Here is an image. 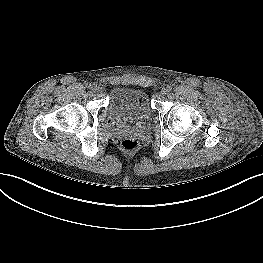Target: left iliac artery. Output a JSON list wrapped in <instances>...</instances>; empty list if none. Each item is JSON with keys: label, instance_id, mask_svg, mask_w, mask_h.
Here are the masks:
<instances>
[{"label": "left iliac artery", "instance_id": "44dca946", "mask_svg": "<svg viewBox=\"0 0 263 263\" xmlns=\"http://www.w3.org/2000/svg\"><path fill=\"white\" fill-rule=\"evenodd\" d=\"M166 88H167L168 92H170L172 90V87L170 85H168Z\"/></svg>", "mask_w": 263, "mask_h": 263}]
</instances>
